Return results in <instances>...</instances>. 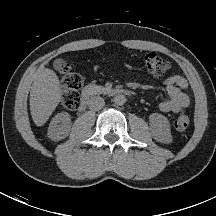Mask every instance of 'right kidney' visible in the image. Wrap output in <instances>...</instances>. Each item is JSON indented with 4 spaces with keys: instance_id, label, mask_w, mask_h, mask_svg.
<instances>
[{
    "instance_id": "obj_1",
    "label": "right kidney",
    "mask_w": 216,
    "mask_h": 216,
    "mask_svg": "<svg viewBox=\"0 0 216 216\" xmlns=\"http://www.w3.org/2000/svg\"><path fill=\"white\" fill-rule=\"evenodd\" d=\"M71 129V118L67 112L55 115L49 124L48 137L54 141L64 139L68 136Z\"/></svg>"
}]
</instances>
